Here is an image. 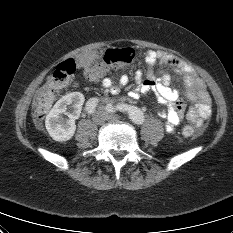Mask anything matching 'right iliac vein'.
Listing matches in <instances>:
<instances>
[{
  "mask_svg": "<svg viewBox=\"0 0 233 233\" xmlns=\"http://www.w3.org/2000/svg\"><path fill=\"white\" fill-rule=\"evenodd\" d=\"M93 120L96 124L102 125L107 120L106 114L102 111H98L94 116Z\"/></svg>",
  "mask_w": 233,
  "mask_h": 233,
  "instance_id": "1",
  "label": "right iliac vein"
}]
</instances>
